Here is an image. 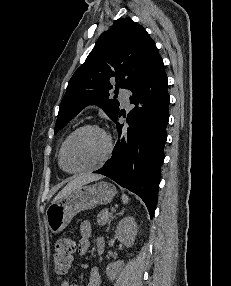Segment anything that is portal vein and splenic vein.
Returning <instances> with one entry per match:
<instances>
[{"label": "portal vein and splenic vein", "mask_w": 231, "mask_h": 286, "mask_svg": "<svg viewBox=\"0 0 231 286\" xmlns=\"http://www.w3.org/2000/svg\"><path fill=\"white\" fill-rule=\"evenodd\" d=\"M115 211V208L113 207V208H111V212H114Z\"/></svg>", "instance_id": "1"}]
</instances>
